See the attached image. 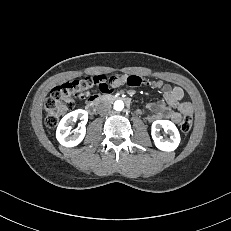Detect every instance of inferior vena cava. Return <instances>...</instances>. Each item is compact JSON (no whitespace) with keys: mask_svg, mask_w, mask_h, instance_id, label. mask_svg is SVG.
<instances>
[{"mask_svg":"<svg viewBox=\"0 0 231 231\" xmlns=\"http://www.w3.org/2000/svg\"><path fill=\"white\" fill-rule=\"evenodd\" d=\"M97 111L99 114H107L111 111V104L108 102H101L97 106Z\"/></svg>","mask_w":231,"mask_h":231,"instance_id":"obj_1","label":"inferior vena cava"}]
</instances>
